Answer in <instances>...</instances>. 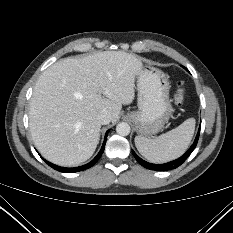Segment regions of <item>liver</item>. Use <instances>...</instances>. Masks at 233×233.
Segmentation results:
<instances>
[{
  "instance_id": "1",
  "label": "liver",
  "mask_w": 233,
  "mask_h": 233,
  "mask_svg": "<svg viewBox=\"0 0 233 233\" xmlns=\"http://www.w3.org/2000/svg\"><path fill=\"white\" fill-rule=\"evenodd\" d=\"M141 58L104 51L55 62L39 77L30 101L32 140L48 161L66 167L88 160L97 147L104 111L111 122L134 100Z\"/></svg>"
}]
</instances>
